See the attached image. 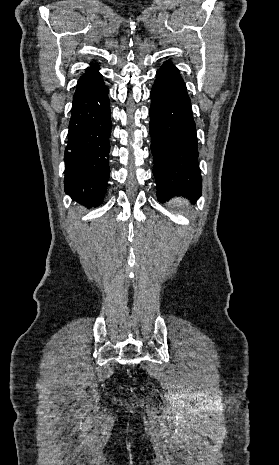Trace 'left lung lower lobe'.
Instances as JSON below:
<instances>
[{"label":"left lung lower lobe","mask_w":279,"mask_h":465,"mask_svg":"<svg viewBox=\"0 0 279 465\" xmlns=\"http://www.w3.org/2000/svg\"><path fill=\"white\" fill-rule=\"evenodd\" d=\"M150 135L153 174L161 202L183 195L201 196L196 127L191 101L179 70L166 61L151 90Z\"/></svg>","instance_id":"left-lung-lower-lobe-1"}]
</instances>
